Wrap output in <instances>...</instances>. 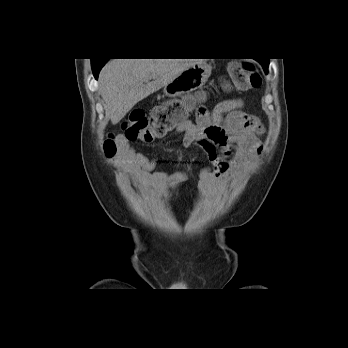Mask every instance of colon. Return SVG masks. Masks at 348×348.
<instances>
[{
    "instance_id": "1",
    "label": "colon",
    "mask_w": 348,
    "mask_h": 348,
    "mask_svg": "<svg viewBox=\"0 0 348 348\" xmlns=\"http://www.w3.org/2000/svg\"><path fill=\"white\" fill-rule=\"evenodd\" d=\"M234 86L249 90L260 86L261 76L248 62L235 61L229 65ZM188 103L179 99H167L156 106L150 115L141 109L132 110L123 123L124 137L128 141L152 142L165 136L174 128L186 122ZM107 157H115L119 151L116 138L111 136L103 144Z\"/></svg>"
}]
</instances>
